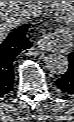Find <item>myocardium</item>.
Instances as JSON below:
<instances>
[{
  "instance_id": "1",
  "label": "myocardium",
  "mask_w": 74,
  "mask_h": 122,
  "mask_svg": "<svg viewBox=\"0 0 74 122\" xmlns=\"http://www.w3.org/2000/svg\"><path fill=\"white\" fill-rule=\"evenodd\" d=\"M51 10L58 15H71L74 12V1H67L66 5H62V1H49ZM70 4V5H69Z\"/></svg>"
}]
</instances>
